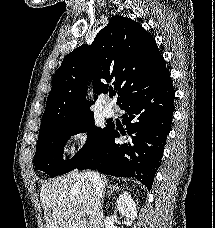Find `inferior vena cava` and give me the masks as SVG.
Masks as SVG:
<instances>
[{
  "label": "inferior vena cava",
  "mask_w": 215,
  "mask_h": 228,
  "mask_svg": "<svg viewBox=\"0 0 215 228\" xmlns=\"http://www.w3.org/2000/svg\"><path fill=\"white\" fill-rule=\"evenodd\" d=\"M88 176L90 178L92 188H94L97 196H100V198H103L105 182H103L99 174H92V172H88Z\"/></svg>",
  "instance_id": "1"
}]
</instances>
